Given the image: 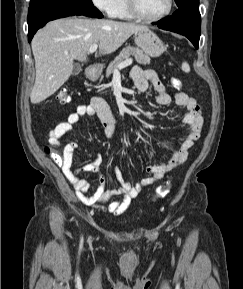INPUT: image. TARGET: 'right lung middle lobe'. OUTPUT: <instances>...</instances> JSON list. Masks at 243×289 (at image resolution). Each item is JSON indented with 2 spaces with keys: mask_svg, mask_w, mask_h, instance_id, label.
<instances>
[{
  "mask_svg": "<svg viewBox=\"0 0 243 289\" xmlns=\"http://www.w3.org/2000/svg\"><path fill=\"white\" fill-rule=\"evenodd\" d=\"M75 1H81V2H84V3H88V4L92 3V0H75Z\"/></svg>",
  "mask_w": 243,
  "mask_h": 289,
  "instance_id": "dd1d6c3e",
  "label": "right lung middle lobe"
}]
</instances>
